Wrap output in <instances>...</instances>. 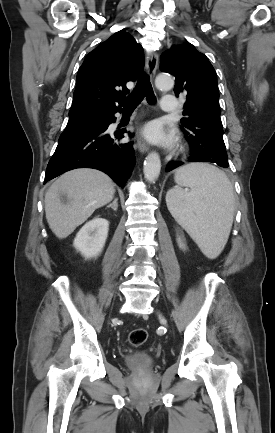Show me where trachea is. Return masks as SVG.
<instances>
[{
	"label": "trachea",
	"instance_id": "1",
	"mask_svg": "<svg viewBox=\"0 0 275 433\" xmlns=\"http://www.w3.org/2000/svg\"><path fill=\"white\" fill-rule=\"evenodd\" d=\"M144 97H146L147 102L150 104H154L156 102V97L154 95L149 76L146 74L142 75V77L138 80L135 89L127 97L124 103V110L134 111Z\"/></svg>",
	"mask_w": 275,
	"mask_h": 433
}]
</instances>
